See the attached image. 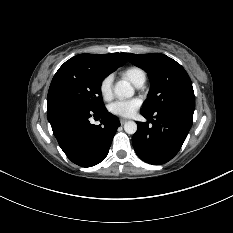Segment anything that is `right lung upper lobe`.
<instances>
[{"mask_svg": "<svg viewBox=\"0 0 233 233\" xmlns=\"http://www.w3.org/2000/svg\"><path fill=\"white\" fill-rule=\"evenodd\" d=\"M124 53L111 54H79L67 62H80L112 73L125 64Z\"/></svg>", "mask_w": 233, "mask_h": 233, "instance_id": "obj_1", "label": "right lung upper lobe"}]
</instances>
